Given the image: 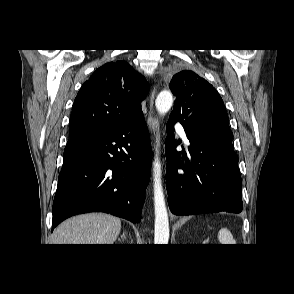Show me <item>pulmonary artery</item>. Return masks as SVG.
<instances>
[{
  "label": "pulmonary artery",
  "instance_id": "1",
  "mask_svg": "<svg viewBox=\"0 0 294 294\" xmlns=\"http://www.w3.org/2000/svg\"><path fill=\"white\" fill-rule=\"evenodd\" d=\"M175 129L178 132V134L182 137L183 142L186 145H188L189 144V140H188V138L186 136L184 127L180 123H177V124H175Z\"/></svg>",
  "mask_w": 294,
  "mask_h": 294
}]
</instances>
